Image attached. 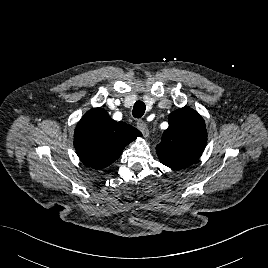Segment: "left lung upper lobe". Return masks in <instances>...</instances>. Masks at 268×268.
<instances>
[{"label": "left lung upper lobe", "instance_id": "1", "mask_svg": "<svg viewBox=\"0 0 268 268\" xmlns=\"http://www.w3.org/2000/svg\"><path fill=\"white\" fill-rule=\"evenodd\" d=\"M168 123L156 153L165 166L174 170L186 168L198 160L206 146L205 122L195 110L185 106L172 112Z\"/></svg>", "mask_w": 268, "mask_h": 268}]
</instances>
